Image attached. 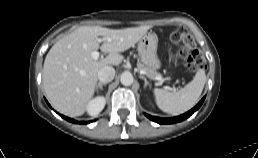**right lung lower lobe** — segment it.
Listing matches in <instances>:
<instances>
[{
    "instance_id": "obj_1",
    "label": "right lung lower lobe",
    "mask_w": 258,
    "mask_h": 158,
    "mask_svg": "<svg viewBox=\"0 0 258 158\" xmlns=\"http://www.w3.org/2000/svg\"><path fill=\"white\" fill-rule=\"evenodd\" d=\"M46 102H47V101H46ZM47 104H48V102H47ZM48 105H49V104H48ZM62 118L66 119V120H67V121H69V122L77 123V121H76V120H73V119L68 118V117H66V116H62ZM79 123H82V122H79ZM83 123L87 124V122H83ZM88 123H89V122H88Z\"/></svg>"
}]
</instances>
